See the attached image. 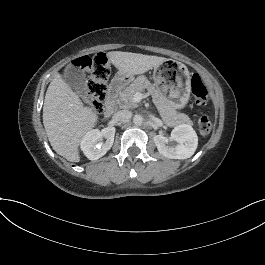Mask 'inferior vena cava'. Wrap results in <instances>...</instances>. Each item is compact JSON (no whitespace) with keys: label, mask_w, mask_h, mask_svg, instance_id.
<instances>
[{"label":"inferior vena cava","mask_w":265,"mask_h":265,"mask_svg":"<svg viewBox=\"0 0 265 265\" xmlns=\"http://www.w3.org/2000/svg\"><path fill=\"white\" fill-rule=\"evenodd\" d=\"M112 117L118 122H128L132 117V112L128 110H120L114 113Z\"/></svg>","instance_id":"602c4592"}]
</instances>
